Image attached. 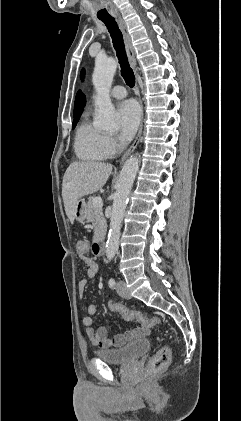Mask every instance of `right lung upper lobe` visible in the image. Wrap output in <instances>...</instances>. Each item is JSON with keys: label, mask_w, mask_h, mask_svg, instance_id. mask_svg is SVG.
<instances>
[{"label": "right lung upper lobe", "mask_w": 241, "mask_h": 421, "mask_svg": "<svg viewBox=\"0 0 241 421\" xmlns=\"http://www.w3.org/2000/svg\"><path fill=\"white\" fill-rule=\"evenodd\" d=\"M86 104L85 95L79 90L75 98L74 118H79Z\"/></svg>", "instance_id": "obj_1"}]
</instances>
